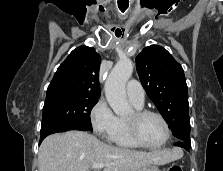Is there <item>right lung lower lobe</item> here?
<instances>
[{
  "label": "right lung lower lobe",
  "mask_w": 223,
  "mask_h": 171,
  "mask_svg": "<svg viewBox=\"0 0 223 171\" xmlns=\"http://www.w3.org/2000/svg\"><path fill=\"white\" fill-rule=\"evenodd\" d=\"M68 130L92 131L84 126H81V125H78L75 123H62V124L52 126L48 129H46L44 132H42L40 135V143L46 136H48L50 134H53L56 132H64V131H68Z\"/></svg>",
  "instance_id": "1"
}]
</instances>
